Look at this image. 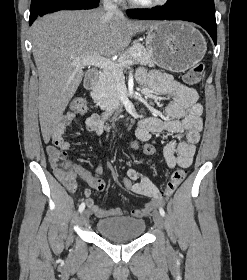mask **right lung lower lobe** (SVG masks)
<instances>
[{"label":"right lung lower lobe","instance_id":"1","mask_svg":"<svg viewBox=\"0 0 247 280\" xmlns=\"http://www.w3.org/2000/svg\"><path fill=\"white\" fill-rule=\"evenodd\" d=\"M100 0H54L45 5L37 14L30 16V25L38 16H43L52 11H58L63 9H87L95 8L99 5Z\"/></svg>","mask_w":247,"mask_h":280}]
</instances>
